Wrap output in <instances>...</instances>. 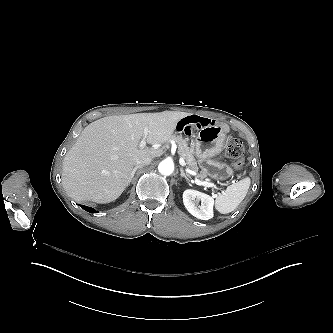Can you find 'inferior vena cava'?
I'll list each match as a JSON object with an SVG mask.
<instances>
[{
  "mask_svg": "<svg viewBox=\"0 0 333 333\" xmlns=\"http://www.w3.org/2000/svg\"><path fill=\"white\" fill-rule=\"evenodd\" d=\"M152 158L151 157H144L137 161V166H148L151 164Z\"/></svg>",
  "mask_w": 333,
  "mask_h": 333,
  "instance_id": "inferior-vena-cava-1",
  "label": "inferior vena cava"
}]
</instances>
